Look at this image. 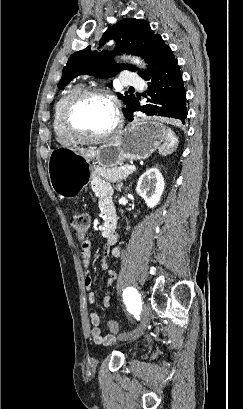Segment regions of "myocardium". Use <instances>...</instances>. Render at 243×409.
<instances>
[{
	"instance_id": "obj_1",
	"label": "myocardium",
	"mask_w": 243,
	"mask_h": 409,
	"mask_svg": "<svg viewBox=\"0 0 243 409\" xmlns=\"http://www.w3.org/2000/svg\"><path fill=\"white\" fill-rule=\"evenodd\" d=\"M88 98L101 99L107 102L111 107L114 116V124L108 131L98 135H88L76 126L74 122L75 109L81 101ZM62 123L66 132L76 141L80 142H100L107 140L118 132L121 125L120 112L116 100L110 93L97 88H82L73 93L67 99L63 107Z\"/></svg>"
}]
</instances>
